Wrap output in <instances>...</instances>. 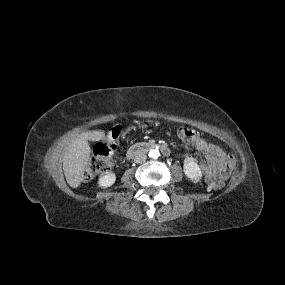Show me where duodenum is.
I'll return each instance as SVG.
<instances>
[{
	"label": "duodenum",
	"instance_id": "obj_1",
	"mask_svg": "<svg viewBox=\"0 0 285 285\" xmlns=\"http://www.w3.org/2000/svg\"><path fill=\"white\" fill-rule=\"evenodd\" d=\"M156 148L160 150L165 156L169 155V149L166 145L158 144V143H149V142H140L133 146H131L127 152L126 157L132 158L133 156L148 151L149 149Z\"/></svg>",
	"mask_w": 285,
	"mask_h": 285
}]
</instances>
